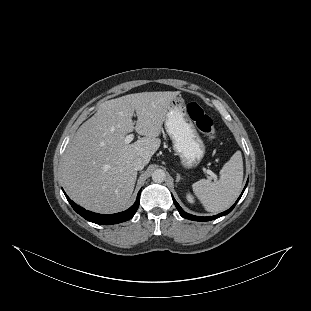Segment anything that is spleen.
<instances>
[{"label": "spleen", "instance_id": "3e777b00", "mask_svg": "<svg viewBox=\"0 0 311 311\" xmlns=\"http://www.w3.org/2000/svg\"><path fill=\"white\" fill-rule=\"evenodd\" d=\"M243 168L241 152L236 151L219 171V178L212 182L202 179L191 185L194 196L209 212L227 209L242 189Z\"/></svg>", "mask_w": 311, "mask_h": 311}]
</instances>
